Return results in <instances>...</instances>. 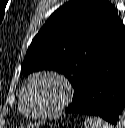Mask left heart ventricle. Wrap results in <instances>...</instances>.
<instances>
[{"instance_id": "1", "label": "left heart ventricle", "mask_w": 125, "mask_h": 128, "mask_svg": "<svg viewBox=\"0 0 125 128\" xmlns=\"http://www.w3.org/2000/svg\"><path fill=\"white\" fill-rule=\"evenodd\" d=\"M60 90L50 80H37L25 96V108L31 113L50 109L58 100Z\"/></svg>"}]
</instances>
